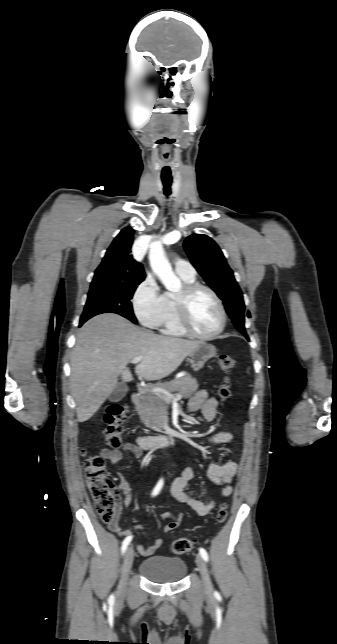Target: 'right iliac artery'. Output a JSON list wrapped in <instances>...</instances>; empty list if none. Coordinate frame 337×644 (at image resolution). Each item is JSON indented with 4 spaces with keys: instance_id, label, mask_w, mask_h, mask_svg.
Returning a JSON list of instances; mask_svg holds the SVG:
<instances>
[{
    "instance_id": "obj_1",
    "label": "right iliac artery",
    "mask_w": 337,
    "mask_h": 644,
    "mask_svg": "<svg viewBox=\"0 0 337 644\" xmlns=\"http://www.w3.org/2000/svg\"><path fill=\"white\" fill-rule=\"evenodd\" d=\"M162 486H163V479H160V480L158 481L157 485L155 486V488L153 489L152 496H156V495L160 492V490H161ZM131 540H132V536H129V537H127V538H125V539H124V541H123V543H122V548H121L122 553H124V552L126 551L127 546L130 544ZM113 598H114V597H113V595H112V596L110 597V599H113Z\"/></svg>"
}]
</instances>
